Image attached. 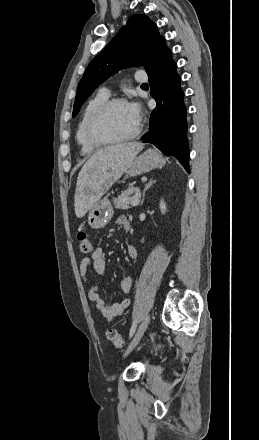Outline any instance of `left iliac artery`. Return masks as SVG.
<instances>
[{
  "mask_svg": "<svg viewBox=\"0 0 259 440\" xmlns=\"http://www.w3.org/2000/svg\"><path fill=\"white\" fill-rule=\"evenodd\" d=\"M136 327H137V321L135 320V321L133 322L132 326H131V329H130V333H129V337H130V338L133 336V334H134V332H135V330H136Z\"/></svg>",
  "mask_w": 259,
  "mask_h": 440,
  "instance_id": "1",
  "label": "left iliac artery"
}]
</instances>
